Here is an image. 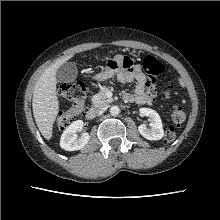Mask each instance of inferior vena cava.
<instances>
[{"instance_id":"1","label":"inferior vena cava","mask_w":220,"mask_h":220,"mask_svg":"<svg viewBox=\"0 0 220 220\" xmlns=\"http://www.w3.org/2000/svg\"><path fill=\"white\" fill-rule=\"evenodd\" d=\"M104 111H105L104 108H101V109H99V108H92L90 110V114H92V115H101Z\"/></svg>"}]
</instances>
